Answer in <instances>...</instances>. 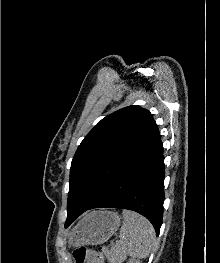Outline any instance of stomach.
Returning <instances> with one entry per match:
<instances>
[{"instance_id": "1", "label": "stomach", "mask_w": 220, "mask_h": 263, "mask_svg": "<svg viewBox=\"0 0 220 263\" xmlns=\"http://www.w3.org/2000/svg\"><path fill=\"white\" fill-rule=\"evenodd\" d=\"M121 218L116 212L91 211L69 232L71 246L100 245L119 228Z\"/></svg>"}]
</instances>
